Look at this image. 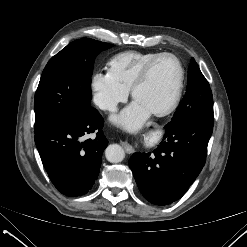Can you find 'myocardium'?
<instances>
[{
  "instance_id": "1",
  "label": "myocardium",
  "mask_w": 247,
  "mask_h": 247,
  "mask_svg": "<svg viewBox=\"0 0 247 247\" xmlns=\"http://www.w3.org/2000/svg\"><path fill=\"white\" fill-rule=\"evenodd\" d=\"M164 57H170L173 60H175L177 67H178V79H177L175 90H174L173 95H172L171 99L169 100V102L165 106H163L162 108L155 109V110L151 111V114H153L155 116H165V115L171 113L176 108L177 104L180 101L182 89H183V82H184V70H183V66H182L179 58L176 55H174L172 53H167V52L158 54L157 56L152 58L141 69V71L139 72V74L135 78V80L132 83L131 88H130L131 97L133 99H135V94H136L137 89L146 81V79H147L150 71L152 70L153 66L160 59H162Z\"/></svg>"
}]
</instances>
